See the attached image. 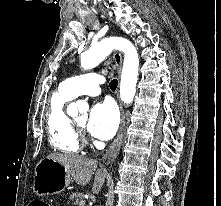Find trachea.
<instances>
[{
    "label": "trachea",
    "instance_id": "3493384b",
    "mask_svg": "<svg viewBox=\"0 0 221 206\" xmlns=\"http://www.w3.org/2000/svg\"><path fill=\"white\" fill-rule=\"evenodd\" d=\"M117 86H118V81H117L116 79H113V80L110 82V89H111L112 91H115L116 88H117Z\"/></svg>",
    "mask_w": 221,
    "mask_h": 206
}]
</instances>
